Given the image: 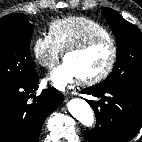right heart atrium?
Here are the masks:
<instances>
[{"label": "right heart atrium", "mask_w": 142, "mask_h": 142, "mask_svg": "<svg viewBox=\"0 0 142 142\" xmlns=\"http://www.w3.org/2000/svg\"><path fill=\"white\" fill-rule=\"evenodd\" d=\"M32 52L36 62L46 69L52 68L57 63L61 53L46 34L39 35L33 40Z\"/></svg>", "instance_id": "d8ad5b80"}]
</instances>
